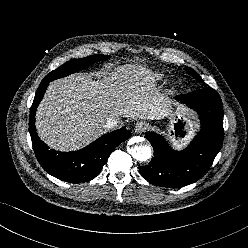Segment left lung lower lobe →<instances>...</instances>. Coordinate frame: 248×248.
<instances>
[{
	"instance_id": "1",
	"label": "left lung lower lobe",
	"mask_w": 248,
	"mask_h": 248,
	"mask_svg": "<svg viewBox=\"0 0 248 248\" xmlns=\"http://www.w3.org/2000/svg\"><path fill=\"white\" fill-rule=\"evenodd\" d=\"M175 99L198 113L201 131L181 151L173 150L164 137L154 132L145 133L155 154L149 165L139 167L148 182L170 188L183 187L203 177L223 142V106L215 90L204 88Z\"/></svg>"
}]
</instances>
